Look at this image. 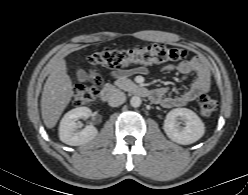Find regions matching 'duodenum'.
I'll return each mask as SVG.
<instances>
[{"label": "duodenum", "mask_w": 248, "mask_h": 195, "mask_svg": "<svg viewBox=\"0 0 248 195\" xmlns=\"http://www.w3.org/2000/svg\"><path fill=\"white\" fill-rule=\"evenodd\" d=\"M121 87L126 88L129 92L136 96L145 97L150 94L149 90L139 83L119 79L116 83L106 85L102 88L100 92L101 100L104 102L112 100Z\"/></svg>", "instance_id": "410a0bca"}]
</instances>
